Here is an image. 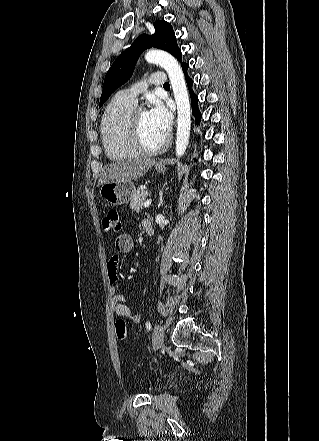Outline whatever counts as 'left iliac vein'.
Wrapping results in <instances>:
<instances>
[{
  "label": "left iliac vein",
  "mask_w": 319,
  "mask_h": 441,
  "mask_svg": "<svg viewBox=\"0 0 319 441\" xmlns=\"http://www.w3.org/2000/svg\"><path fill=\"white\" fill-rule=\"evenodd\" d=\"M152 341L154 349H158L163 345L164 342V329L161 325L157 324L154 327L152 334Z\"/></svg>",
  "instance_id": "4c4485c4"
}]
</instances>
